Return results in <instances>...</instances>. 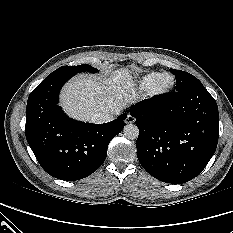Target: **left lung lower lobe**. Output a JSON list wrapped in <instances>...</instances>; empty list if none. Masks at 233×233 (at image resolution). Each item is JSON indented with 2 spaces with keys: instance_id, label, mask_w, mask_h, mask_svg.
I'll return each instance as SVG.
<instances>
[{
  "instance_id": "1",
  "label": "left lung lower lobe",
  "mask_w": 233,
  "mask_h": 233,
  "mask_svg": "<svg viewBox=\"0 0 233 233\" xmlns=\"http://www.w3.org/2000/svg\"><path fill=\"white\" fill-rule=\"evenodd\" d=\"M130 114L139 128L138 160L160 181L181 184L192 180L215 153L218 107L203 85L145 99Z\"/></svg>"
}]
</instances>
